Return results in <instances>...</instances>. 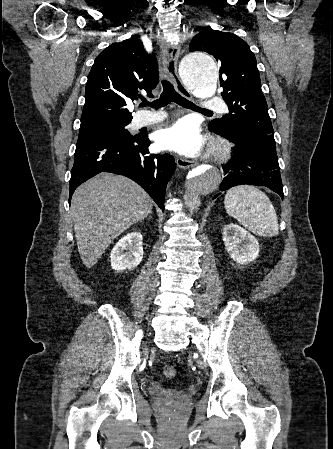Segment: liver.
<instances>
[{
    "label": "liver",
    "mask_w": 333,
    "mask_h": 449,
    "mask_svg": "<svg viewBox=\"0 0 333 449\" xmlns=\"http://www.w3.org/2000/svg\"><path fill=\"white\" fill-rule=\"evenodd\" d=\"M152 208L150 196L121 175L101 173L80 185L72 196L71 213L84 265L94 266L112 240L144 220Z\"/></svg>",
    "instance_id": "1"
}]
</instances>
